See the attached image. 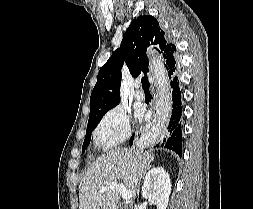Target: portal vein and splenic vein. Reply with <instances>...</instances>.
Returning a JSON list of instances; mask_svg holds the SVG:
<instances>
[{
	"instance_id": "obj_1",
	"label": "portal vein and splenic vein",
	"mask_w": 253,
	"mask_h": 209,
	"mask_svg": "<svg viewBox=\"0 0 253 209\" xmlns=\"http://www.w3.org/2000/svg\"><path fill=\"white\" fill-rule=\"evenodd\" d=\"M111 189H116L120 193L122 198L125 200V202H130L132 198V192L130 190H127L123 184H120L118 182L107 183L105 187L99 190V192H106Z\"/></svg>"
}]
</instances>
